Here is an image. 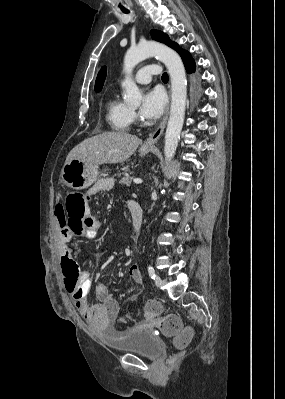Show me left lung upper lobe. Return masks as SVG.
<instances>
[{
  "instance_id": "obj_1",
  "label": "left lung upper lobe",
  "mask_w": 285,
  "mask_h": 399,
  "mask_svg": "<svg viewBox=\"0 0 285 399\" xmlns=\"http://www.w3.org/2000/svg\"><path fill=\"white\" fill-rule=\"evenodd\" d=\"M152 38L156 41L162 42L170 47H172L173 49H175L176 51H178L179 53L183 51V49L179 48V46L172 42L169 37L163 33L162 31H158V30H151L150 32Z\"/></svg>"
}]
</instances>
